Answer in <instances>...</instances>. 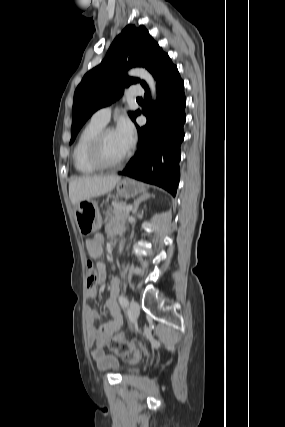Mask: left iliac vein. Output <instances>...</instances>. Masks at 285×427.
<instances>
[{
    "mask_svg": "<svg viewBox=\"0 0 285 427\" xmlns=\"http://www.w3.org/2000/svg\"><path fill=\"white\" fill-rule=\"evenodd\" d=\"M139 313H140V306H139V304L136 301H134V300L131 301V303H130V314H131V317L134 320H136L138 318V316H139Z\"/></svg>",
    "mask_w": 285,
    "mask_h": 427,
    "instance_id": "1",
    "label": "left iliac vein"
}]
</instances>
